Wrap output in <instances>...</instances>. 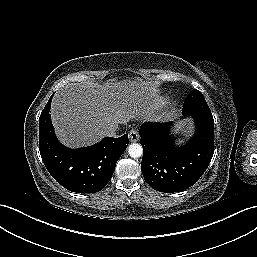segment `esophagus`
Wrapping results in <instances>:
<instances>
[{"mask_svg":"<svg viewBox=\"0 0 257 257\" xmlns=\"http://www.w3.org/2000/svg\"><path fill=\"white\" fill-rule=\"evenodd\" d=\"M129 141L130 142H137L139 140V134H138V130L136 129H132L129 134Z\"/></svg>","mask_w":257,"mask_h":257,"instance_id":"1","label":"esophagus"}]
</instances>
